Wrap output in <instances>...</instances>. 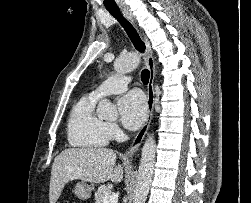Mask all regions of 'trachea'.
Here are the masks:
<instances>
[{"instance_id":"3493384b","label":"trachea","mask_w":251,"mask_h":203,"mask_svg":"<svg viewBox=\"0 0 251 203\" xmlns=\"http://www.w3.org/2000/svg\"><path fill=\"white\" fill-rule=\"evenodd\" d=\"M110 14L115 17L121 26L126 31L127 35L129 36L130 40L132 41L134 47L141 53L145 51V45L141 40L137 30L133 27V25L123 17L120 10H109ZM150 78V72L148 69H144L141 72V80L144 84H148Z\"/></svg>"}]
</instances>
